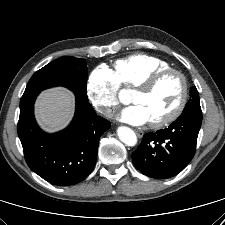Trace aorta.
Instances as JSON below:
<instances>
[{"instance_id":"1","label":"aorta","mask_w":225,"mask_h":225,"mask_svg":"<svg viewBox=\"0 0 225 225\" xmlns=\"http://www.w3.org/2000/svg\"><path fill=\"white\" fill-rule=\"evenodd\" d=\"M129 92L127 90H122L120 93V97L123 95H128ZM117 135L119 139L127 146H135L137 143V137L134 131L128 127L122 126L117 130Z\"/></svg>"}]
</instances>
